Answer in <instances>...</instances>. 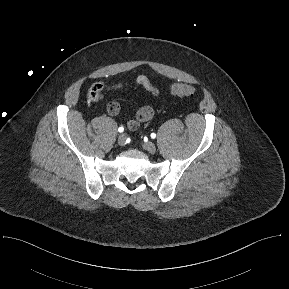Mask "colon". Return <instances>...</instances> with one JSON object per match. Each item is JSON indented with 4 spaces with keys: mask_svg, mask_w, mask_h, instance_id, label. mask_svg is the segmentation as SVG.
I'll return each instance as SVG.
<instances>
[{
    "mask_svg": "<svg viewBox=\"0 0 289 289\" xmlns=\"http://www.w3.org/2000/svg\"><path fill=\"white\" fill-rule=\"evenodd\" d=\"M103 89L104 87L102 84H94L89 90V97L92 100L98 99L101 96ZM195 92V87L190 84H176L171 88V94L176 97L192 96Z\"/></svg>",
    "mask_w": 289,
    "mask_h": 289,
    "instance_id": "1",
    "label": "colon"
}]
</instances>
